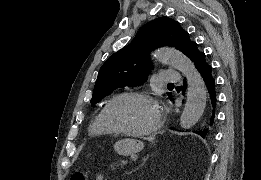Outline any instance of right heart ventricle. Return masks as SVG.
I'll return each mask as SVG.
<instances>
[{
  "label": "right heart ventricle",
  "mask_w": 261,
  "mask_h": 180,
  "mask_svg": "<svg viewBox=\"0 0 261 180\" xmlns=\"http://www.w3.org/2000/svg\"><path fill=\"white\" fill-rule=\"evenodd\" d=\"M102 109H100L92 118L89 126H88V135L92 140H96L99 142H107L110 140L115 139L116 137L113 136L104 126L102 115Z\"/></svg>",
  "instance_id": "obj_1"
}]
</instances>
